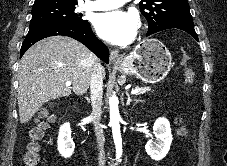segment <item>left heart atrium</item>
Returning a JSON list of instances; mask_svg holds the SVG:
<instances>
[{"label":"left heart atrium","instance_id":"obj_1","mask_svg":"<svg viewBox=\"0 0 227 166\" xmlns=\"http://www.w3.org/2000/svg\"><path fill=\"white\" fill-rule=\"evenodd\" d=\"M138 19L134 13L116 10L99 14L94 22L96 33L113 44H126L133 40Z\"/></svg>","mask_w":227,"mask_h":166}]
</instances>
